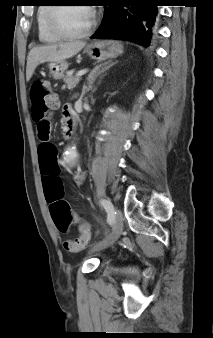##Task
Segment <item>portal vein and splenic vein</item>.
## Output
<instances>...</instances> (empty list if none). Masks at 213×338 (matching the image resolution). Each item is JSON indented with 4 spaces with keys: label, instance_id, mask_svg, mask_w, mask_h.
I'll return each instance as SVG.
<instances>
[{
    "label": "portal vein and splenic vein",
    "instance_id": "18ae733b",
    "mask_svg": "<svg viewBox=\"0 0 213 338\" xmlns=\"http://www.w3.org/2000/svg\"><path fill=\"white\" fill-rule=\"evenodd\" d=\"M87 69H83L77 72L76 77H81L82 75L87 73Z\"/></svg>",
    "mask_w": 213,
    "mask_h": 338
}]
</instances>
